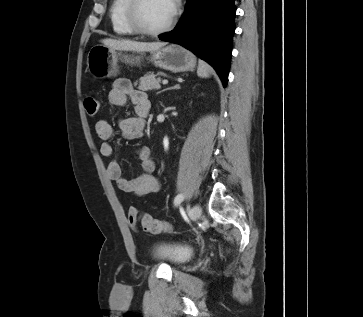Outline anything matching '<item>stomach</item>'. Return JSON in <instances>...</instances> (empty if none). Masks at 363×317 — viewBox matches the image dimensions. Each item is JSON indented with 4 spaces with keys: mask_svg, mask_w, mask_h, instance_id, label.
<instances>
[{
    "mask_svg": "<svg viewBox=\"0 0 363 317\" xmlns=\"http://www.w3.org/2000/svg\"><path fill=\"white\" fill-rule=\"evenodd\" d=\"M143 55H127L112 50L105 45L93 46L87 55V68L95 79H105L119 73V62L140 64ZM149 60L155 66L174 73L192 71L196 57L180 45L171 44L152 51Z\"/></svg>",
    "mask_w": 363,
    "mask_h": 317,
    "instance_id": "obj_1",
    "label": "stomach"
}]
</instances>
